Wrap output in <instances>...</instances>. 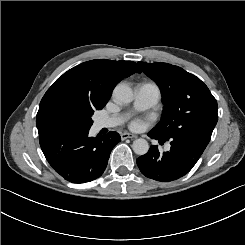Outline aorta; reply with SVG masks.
I'll return each mask as SVG.
<instances>
[{
    "instance_id": "aorta-1",
    "label": "aorta",
    "mask_w": 245,
    "mask_h": 245,
    "mask_svg": "<svg viewBox=\"0 0 245 245\" xmlns=\"http://www.w3.org/2000/svg\"><path fill=\"white\" fill-rule=\"evenodd\" d=\"M113 96L117 102L126 104L133 100V91L130 86L121 83L114 88ZM132 148L137 155H145L149 150V144L145 139L139 138L134 140Z\"/></svg>"
}]
</instances>
